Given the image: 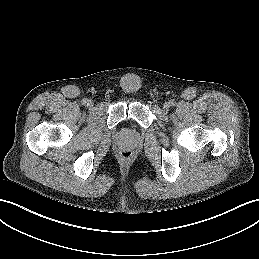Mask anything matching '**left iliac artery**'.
<instances>
[{
    "label": "left iliac artery",
    "mask_w": 259,
    "mask_h": 259,
    "mask_svg": "<svg viewBox=\"0 0 259 259\" xmlns=\"http://www.w3.org/2000/svg\"><path fill=\"white\" fill-rule=\"evenodd\" d=\"M169 104H170L171 106H174V105H175V101H174V100H170V101H169Z\"/></svg>",
    "instance_id": "left-iliac-artery-1"
}]
</instances>
